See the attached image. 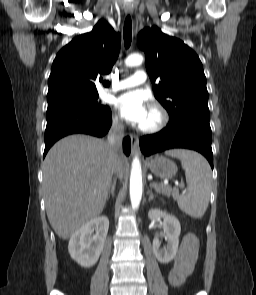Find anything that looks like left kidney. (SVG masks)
Segmentation results:
<instances>
[{"label":"left kidney","mask_w":256,"mask_h":295,"mask_svg":"<svg viewBox=\"0 0 256 295\" xmlns=\"http://www.w3.org/2000/svg\"><path fill=\"white\" fill-rule=\"evenodd\" d=\"M148 218L150 220L163 218V230L167 245L161 248L159 238L155 237L153 239V253L160 263L168 264L175 258L178 251L181 232L180 222L175 216L157 208L149 210Z\"/></svg>","instance_id":"obj_1"}]
</instances>
